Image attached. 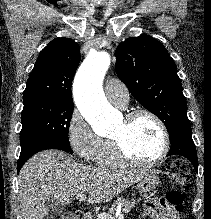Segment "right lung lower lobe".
Segmentation results:
<instances>
[{
    "mask_svg": "<svg viewBox=\"0 0 211 219\" xmlns=\"http://www.w3.org/2000/svg\"><path fill=\"white\" fill-rule=\"evenodd\" d=\"M45 149H60L63 151L68 152L66 149L58 146V145H53V144H41V145H37L29 150H26L24 152L20 153V157L18 160V168H17V172L20 171V169L22 168V166L24 165V163L35 153L45 150ZM70 153V152H69Z\"/></svg>",
    "mask_w": 211,
    "mask_h": 219,
    "instance_id": "obj_1",
    "label": "right lung lower lobe"
}]
</instances>
